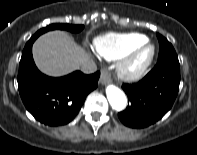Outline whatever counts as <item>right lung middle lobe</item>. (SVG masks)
I'll return each instance as SVG.
<instances>
[{
	"mask_svg": "<svg viewBox=\"0 0 197 155\" xmlns=\"http://www.w3.org/2000/svg\"><path fill=\"white\" fill-rule=\"evenodd\" d=\"M84 28L83 25H70V24H51L45 28L40 29L39 31H37L31 38L30 40L27 42H34L41 34L50 31V30H55V29H61V30H68L70 32L73 33H78L80 32L82 29ZM26 44V45H27Z\"/></svg>",
	"mask_w": 197,
	"mask_h": 155,
	"instance_id": "1",
	"label": "right lung middle lobe"
}]
</instances>
